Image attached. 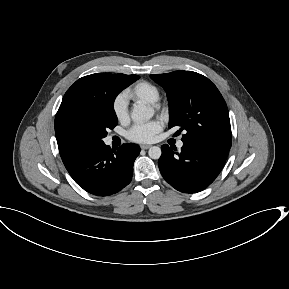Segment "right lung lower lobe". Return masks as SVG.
Masks as SVG:
<instances>
[{"label": "right lung lower lobe", "mask_w": 289, "mask_h": 289, "mask_svg": "<svg viewBox=\"0 0 289 289\" xmlns=\"http://www.w3.org/2000/svg\"><path fill=\"white\" fill-rule=\"evenodd\" d=\"M139 153L140 147L136 144H123L116 151L103 144L65 167L85 191L109 196L130 183Z\"/></svg>", "instance_id": "1"}]
</instances>
